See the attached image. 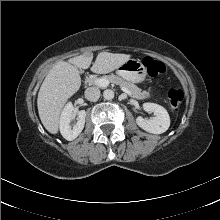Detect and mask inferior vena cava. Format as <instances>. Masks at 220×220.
I'll use <instances>...</instances> for the list:
<instances>
[{"instance_id": "1", "label": "inferior vena cava", "mask_w": 220, "mask_h": 220, "mask_svg": "<svg viewBox=\"0 0 220 220\" xmlns=\"http://www.w3.org/2000/svg\"><path fill=\"white\" fill-rule=\"evenodd\" d=\"M85 97L89 101H97L100 97V90L96 87H89L85 90Z\"/></svg>"}]
</instances>
